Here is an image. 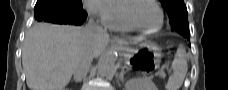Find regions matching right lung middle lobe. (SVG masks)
I'll use <instances>...</instances> for the list:
<instances>
[{"label": "right lung middle lobe", "mask_w": 228, "mask_h": 90, "mask_svg": "<svg viewBox=\"0 0 228 90\" xmlns=\"http://www.w3.org/2000/svg\"><path fill=\"white\" fill-rule=\"evenodd\" d=\"M41 2L38 0L36 6ZM58 4L64 6L69 11L72 10H81L82 9V0H57Z\"/></svg>", "instance_id": "right-lung-middle-lobe-1"}]
</instances>
